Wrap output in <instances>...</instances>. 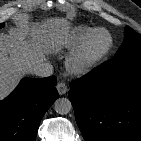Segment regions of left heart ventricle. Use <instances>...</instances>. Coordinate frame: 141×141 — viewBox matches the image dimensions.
<instances>
[{
	"mask_svg": "<svg viewBox=\"0 0 141 141\" xmlns=\"http://www.w3.org/2000/svg\"><path fill=\"white\" fill-rule=\"evenodd\" d=\"M107 36L103 33H99L91 40L88 46L89 54H97L101 52L107 45Z\"/></svg>",
	"mask_w": 141,
	"mask_h": 141,
	"instance_id": "b2bd125f",
	"label": "left heart ventricle"
}]
</instances>
